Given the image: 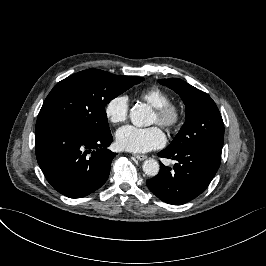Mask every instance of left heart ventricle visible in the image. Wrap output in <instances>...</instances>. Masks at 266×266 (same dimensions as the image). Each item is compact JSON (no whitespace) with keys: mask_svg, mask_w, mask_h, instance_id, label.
I'll list each match as a JSON object with an SVG mask.
<instances>
[{"mask_svg":"<svg viewBox=\"0 0 266 266\" xmlns=\"http://www.w3.org/2000/svg\"><path fill=\"white\" fill-rule=\"evenodd\" d=\"M158 121V117L157 115L154 113V116H153V122H157Z\"/></svg>","mask_w":266,"mask_h":266,"instance_id":"left-heart-ventricle-1","label":"left heart ventricle"}]
</instances>
